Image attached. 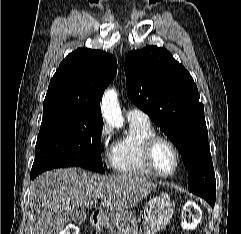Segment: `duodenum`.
<instances>
[{"mask_svg":"<svg viewBox=\"0 0 241 234\" xmlns=\"http://www.w3.org/2000/svg\"><path fill=\"white\" fill-rule=\"evenodd\" d=\"M103 222V214L100 211H96L91 216V225L93 227H100Z\"/></svg>","mask_w":241,"mask_h":234,"instance_id":"obj_1","label":"duodenum"}]
</instances>
